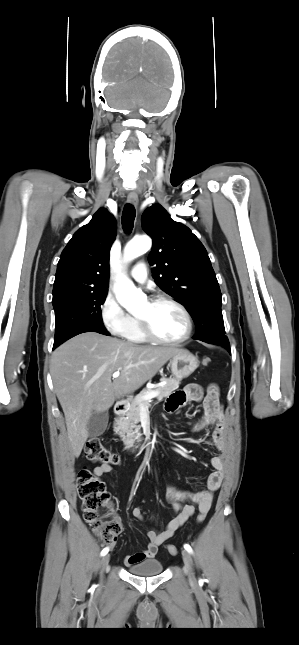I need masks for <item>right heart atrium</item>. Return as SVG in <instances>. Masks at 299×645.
I'll list each match as a JSON object with an SVG mask.
<instances>
[{"mask_svg": "<svg viewBox=\"0 0 299 645\" xmlns=\"http://www.w3.org/2000/svg\"><path fill=\"white\" fill-rule=\"evenodd\" d=\"M100 318L104 328L114 336H123L131 323V316L111 293L101 303Z\"/></svg>", "mask_w": 299, "mask_h": 645, "instance_id": "1", "label": "right heart atrium"}]
</instances>
